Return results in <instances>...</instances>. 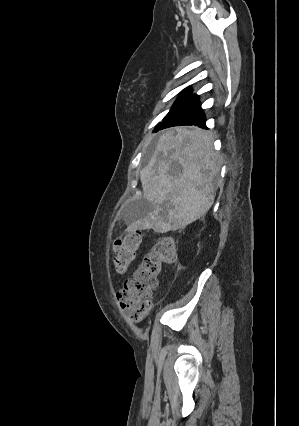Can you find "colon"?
Returning <instances> with one entry per match:
<instances>
[{"instance_id":"obj_1","label":"colon","mask_w":299,"mask_h":426,"mask_svg":"<svg viewBox=\"0 0 299 426\" xmlns=\"http://www.w3.org/2000/svg\"><path fill=\"white\" fill-rule=\"evenodd\" d=\"M141 241L142 235L138 231L127 233L116 240L113 263L117 272H126L136 257ZM175 259V241L171 237H162L144 255L132 276L125 280L117 298L132 321L139 322L146 315L163 265L170 264Z\"/></svg>"}]
</instances>
